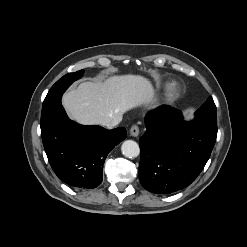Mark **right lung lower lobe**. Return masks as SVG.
Returning <instances> with one entry per match:
<instances>
[{
  "mask_svg": "<svg viewBox=\"0 0 247 247\" xmlns=\"http://www.w3.org/2000/svg\"><path fill=\"white\" fill-rule=\"evenodd\" d=\"M126 135L124 127L107 130L76 124L67 117L61 101L42 110L41 136L49 163L73 187H97L108 153Z\"/></svg>",
  "mask_w": 247,
  "mask_h": 247,
  "instance_id": "obj_1",
  "label": "right lung lower lobe"
}]
</instances>
